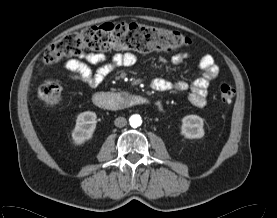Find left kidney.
<instances>
[{
	"label": "left kidney",
	"instance_id": "obj_1",
	"mask_svg": "<svg viewBox=\"0 0 277 218\" xmlns=\"http://www.w3.org/2000/svg\"><path fill=\"white\" fill-rule=\"evenodd\" d=\"M203 119L197 115H187L182 119L181 134L188 139H198L204 136Z\"/></svg>",
	"mask_w": 277,
	"mask_h": 218
}]
</instances>
